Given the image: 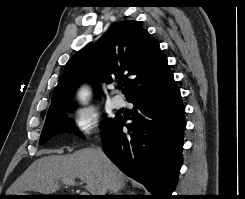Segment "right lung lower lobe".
<instances>
[{"label":"right lung lower lobe","instance_id":"1","mask_svg":"<svg viewBox=\"0 0 245 199\" xmlns=\"http://www.w3.org/2000/svg\"><path fill=\"white\" fill-rule=\"evenodd\" d=\"M128 101L135 106L133 121L125 124L122 117L113 118L102 130L104 152L121 171L152 192V199H172L182 166L185 130L180 90L173 80Z\"/></svg>","mask_w":245,"mask_h":199}]
</instances>
